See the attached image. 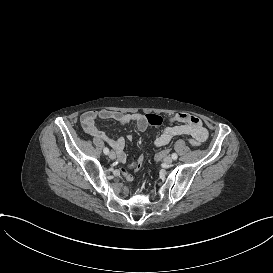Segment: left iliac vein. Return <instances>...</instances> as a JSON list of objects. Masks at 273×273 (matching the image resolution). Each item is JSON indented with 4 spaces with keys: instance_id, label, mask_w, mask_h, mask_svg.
Returning a JSON list of instances; mask_svg holds the SVG:
<instances>
[{
    "instance_id": "left-iliac-vein-1",
    "label": "left iliac vein",
    "mask_w": 273,
    "mask_h": 273,
    "mask_svg": "<svg viewBox=\"0 0 273 273\" xmlns=\"http://www.w3.org/2000/svg\"><path fill=\"white\" fill-rule=\"evenodd\" d=\"M164 164L170 165L173 162V159L171 156H166L163 160Z\"/></svg>"
}]
</instances>
